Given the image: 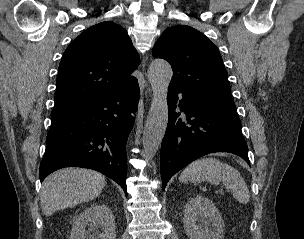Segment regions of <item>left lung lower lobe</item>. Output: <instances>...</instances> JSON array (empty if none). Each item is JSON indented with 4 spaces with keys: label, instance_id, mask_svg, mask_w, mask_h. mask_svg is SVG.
Segmentation results:
<instances>
[{
    "label": "left lung lower lobe",
    "instance_id": "1",
    "mask_svg": "<svg viewBox=\"0 0 304 239\" xmlns=\"http://www.w3.org/2000/svg\"><path fill=\"white\" fill-rule=\"evenodd\" d=\"M178 94H181L180 100ZM167 101L169 119L160 156L163 190L175 173L209 153H233L250 164L235 110L202 102L170 86ZM177 108L185 113L186 122L175 111Z\"/></svg>",
    "mask_w": 304,
    "mask_h": 239
}]
</instances>
